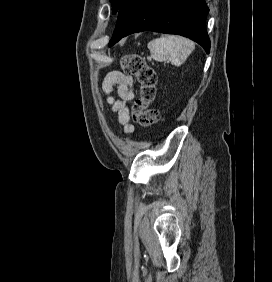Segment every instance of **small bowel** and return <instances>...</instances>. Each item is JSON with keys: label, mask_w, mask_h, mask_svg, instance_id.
<instances>
[{"label": "small bowel", "mask_w": 272, "mask_h": 282, "mask_svg": "<svg viewBox=\"0 0 272 282\" xmlns=\"http://www.w3.org/2000/svg\"><path fill=\"white\" fill-rule=\"evenodd\" d=\"M102 88L107 94V103L111 106L112 112L117 115L124 132L127 134L132 133L134 126L129 115V104L135 97L132 77L121 72L111 71L105 76ZM115 88L118 94L117 98L112 95Z\"/></svg>", "instance_id": "small-bowel-1"}]
</instances>
